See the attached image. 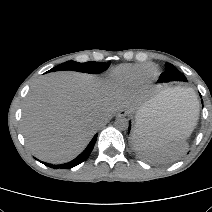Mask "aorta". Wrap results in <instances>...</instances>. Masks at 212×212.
Here are the masks:
<instances>
[{"mask_svg": "<svg viewBox=\"0 0 212 212\" xmlns=\"http://www.w3.org/2000/svg\"><path fill=\"white\" fill-rule=\"evenodd\" d=\"M129 126L128 120L123 117L119 116L115 120V127L119 130H126Z\"/></svg>", "mask_w": 212, "mask_h": 212, "instance_id": "aorta-1", "label": "aorta"}]
</instances>
